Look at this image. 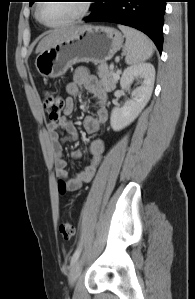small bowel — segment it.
<instances>
[{
    "mask_svg": "<svg viewBox=\"0 0 195 299\" xmlns=\"http://www.w3.org/2000/svg\"><path fill=\"white\" fill-rule=\"evenodd\" d=\"M83 88L88 91L94 100L96 115L87 116L84 120V129L87 134H94L106 125L108 111L106 108V91L98 78L84 70H77L73 74L72 81L66 86L68 97L65 99L64 114L73 113L75 104L74 97ZM51 149L54 154V167L56 175L65 182L67 190H78L83 184L89 182L99 165L104 151V142L100 139L93 140L89 151L92 161L89 165L81 169L75 176L70 177L67 171V164L63 158L62 143L64 141H74L78 137V132L74 124L67 118H62L59 122H50L47 126ZM82 152L76 150L73 153L75 159H80Z\"/></svg>",
    "mask_w": 195,
    "mask_h": 299,
    "instance_id": "1",
    "label": "small bowel"
}]
</instances>
